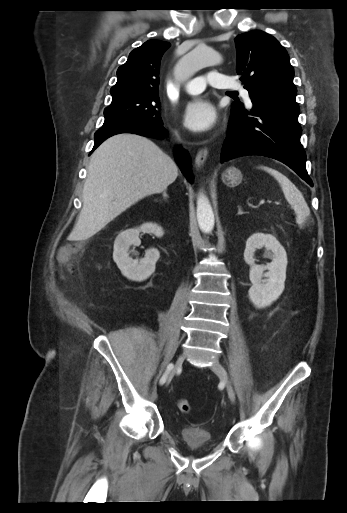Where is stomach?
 <instances>
[{
	"instance_id": "1",
	"label": "stomach",
	"mask_w": 347,
	"mask_h": 513,
	"mask_svg": "<svg viewBox=\"0 0 347 513\" xmlns=\"http://www.w3.org/2000/svg\"><path fill=\"white\" fill-rule=\"evenodd\" d=\"M240 170L235 167L227 168L222 174V180L227 186L238 185L242 181Z\"/></svg>"
}]
</instances>
